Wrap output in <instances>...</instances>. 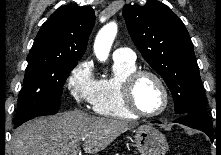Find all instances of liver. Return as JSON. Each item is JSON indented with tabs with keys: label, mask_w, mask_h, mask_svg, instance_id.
<instances>
[{
	"label": "liver",
	"mask_w": 221,
	"mask_h": 155,
	"mask_svg": "<svg viewBox=\"0 0 221 155\" xmlns=\"http://www.w3.org/2000/svg\"><path fill=\"white\" fill-rule=\"evenodd\" d=\"M136 126V122L90 116L80 110L37 118L15 130L12 155H72L81 142L85 153L94 155Z\"/></svg>",
	"instance_id": "obj_1"
}]
</instances>
